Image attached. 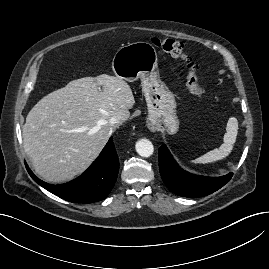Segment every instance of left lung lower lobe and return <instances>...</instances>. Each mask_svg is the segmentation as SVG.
Here are the masks:
<instances>
[{"mask_svg": "<svg viewBox=\"0 0 269 269\" xmlns=\"http://www.w3.org/2000/svg\"><path fill=\"white\" fill-rule=\"evenodd\" d=\"M160 175L166 186L175 194L184 197H201L224 186L233 173L221 177H205L190 174L181 169L169 150L162 145L158 151Z\"/></svg>", "mask_w": 269, "mask_h": 269, "instance_id": "obj_1", "label": "left lung lower lobe"}]
</instances>
